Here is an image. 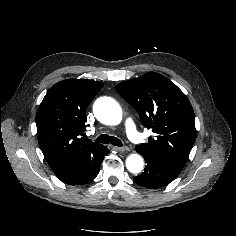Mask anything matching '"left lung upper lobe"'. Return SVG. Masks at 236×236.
<instances>
[{
  "label": "left lung upper lobe",
  "instance_id": "left-lung-upper-lobe-1",
  "mask_svg": "<svg viewBox=\"0 0 236 236\" xmlns=\"http://www.w3.org/2000/svg\"><path fill=\"white\" fill-rule=\"evenodd\" d=\"M116 90L137 110L142 124L155 133L136 149L181 171L196 140L195 115L186 95L155 72L121 82Z\"/></svg>",
  "mask_w": 236,
  "mask_h": 236
}]
</instances>
